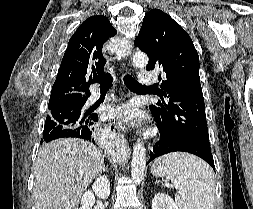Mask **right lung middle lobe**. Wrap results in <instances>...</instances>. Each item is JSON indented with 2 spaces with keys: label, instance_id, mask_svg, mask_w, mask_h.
<instances>
[{
  "label": "right lung middle lobe",
  "instance_id": "dd1d6c3e",
  "mask_svg": "<svg viewBox=\"0 0 253 209\" xmlns=\"http://www.w3.org/2000/svg\"><path fill=\"white\" fill-rule=\"evenodd\" d=\"M84 104L61 106L49 110L45 122L44 134L87 125L91 116H89L88 111H85Z\"/></svg>",
  "mask_w": 253,
  "mask_h": 209
}]
</instances>
